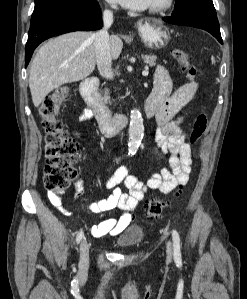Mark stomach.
<instances>
[{"mask_svg": "<svg viewBox=\"0 0 247 299\" xmlns=\"http://www.w3.org/2000/svg\"><path fill=\"white\" fill-rule=\"evenodd\" d=\"M139 35L142 42L151 49L165 47L170 41V31L160 21H145L139 23Z\"/></svg>", "mask_w": 247, "mask_h": 299, "instance_id": "stomach-1", "label": "stomach"}]
</instances>
